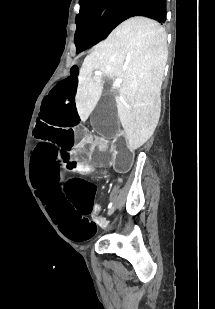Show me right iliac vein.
I'll list each match as a JSON object with an SVG mask.
<instances>
[{"mask_svg":"<svg viewBox=\"0 0 215 309\" xmlns=\"http://www.w3.org/2000/svg\"><path fill=\"white\" fill-rule=\"evenodd\" d=\"M114 211H115V206H112L108 211V215H111Z\"/></svg>","mask_w":215,"mask_h":309,"instance_id":"right-iliac-vein-1","label":"right iliac vein"}]
</instances>
